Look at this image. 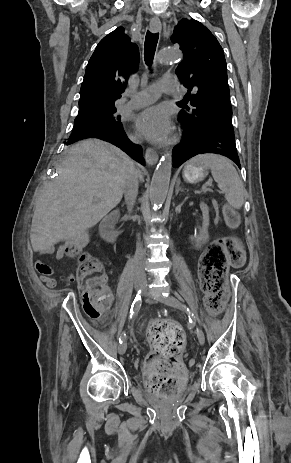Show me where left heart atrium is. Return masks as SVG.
Returning a JSON list of instances; mask_svg holds the SVG:
<instances>
[{
    "mask_svg": "<svg viewBox=\"0 0 291 463\" xmlns=\"http://www.w3.org/2000/svg\"><path fill=\"white\" fill-rule=\"evenodd\" d=\"M139 133L151 141H161L169 134V114L162 106H152L140 112L135 119Z\"/></svg>",
    "mask_w": 291,
    "mask_h": 463,
    "instance_id": "1",
    "label": "left heart atrium"
}]
</instances>
